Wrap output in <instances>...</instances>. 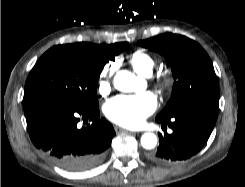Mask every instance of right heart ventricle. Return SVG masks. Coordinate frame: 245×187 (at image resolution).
Returning a JSON list of instances; mask_svg holds the SVG:
<instances>
[{"instance_id": "e07e8e85", "label": "right heart ventricle", "mask_w": 245, "mask_h": 187, "mask_svg": "<svg viewBox=\"0 0 245 187\" xmlns=\"http://www.w3.org/2000/svg\"><path fill=\"white\" fill-rule=\"evenodd\" d=\"M129 63L135 72L148 76L156 65V59L144 50H135L129 56Z\"/></svg>"}]
</instances>
